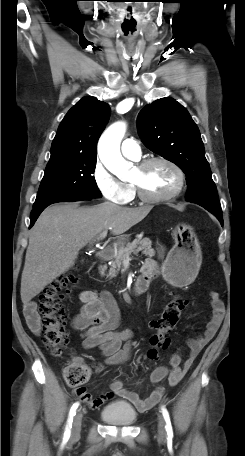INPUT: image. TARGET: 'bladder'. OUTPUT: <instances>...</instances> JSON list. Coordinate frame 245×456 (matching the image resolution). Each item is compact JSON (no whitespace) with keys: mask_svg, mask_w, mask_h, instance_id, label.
<instances>
[{"mask_svg":"<svg viewBox=\"0 0 245 456\" xmlns=\"http://www.w3.org/2000/svg\"><path fill=\"white\" fill-rule=\"evenodd\" d=\"M101 418L110 424L128 426L135 423L137 413L124 401H116L106 405L101 411Z\"/></svg>","mask_w":245,"mask_h":456,"instance_id":"1","label":"bladder"}]
</instances>
